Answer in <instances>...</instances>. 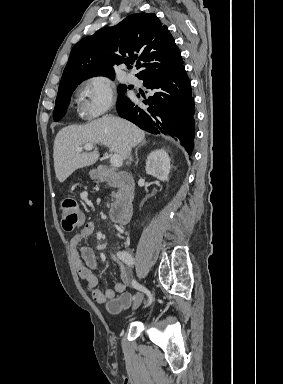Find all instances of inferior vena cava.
<instances>
[{"mask_svg":"<svg viewBox=\"0 0 283 384\" xmlns=\"http://www.w3.org/2000/svg\"><path fill=\"white\" fill-rule=\"evenodd\" d=\"M127 152H128V156H131V148H130V146H127Z\"/></svg>","mask_w":283,"mask_h":384,"instance_id":"1","label":"inferior vena cava"}]
</instances>
